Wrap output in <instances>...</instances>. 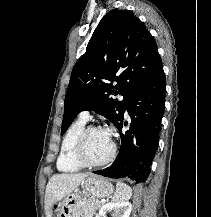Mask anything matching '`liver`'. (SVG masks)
I'll return each instance as SVG.
<instances>
[{
  "label": "liver",
  "instance_id": "liver-1",
  "mask_svg": "<svg viewBox=\"0 0 211 217\" xmlns=\"http://www.w3.org/2000/svg\"><path fill=\"white\" fill-rule=\"evenodd\" d=\"M89 174L62 173L53 175L46 186L45 212L46 217H52L54 205L75 191Z\"/></svg>",
  "mask_w": 211,
  "mask_h": 217
}]
</instances>
